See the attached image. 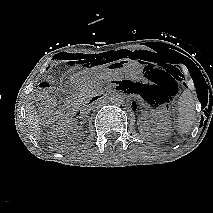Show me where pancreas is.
<instances>
[{
  "instance_id": "pancreas-1",
  "label": "pancreas",
  "mask_w": 213,
  "mask_h": 213,
  "mask_svg": "<svg viewBox=\"0 0 213 213\" xmlns=\"http://www.w3.org/2000/svg\"><path fill=\"white\" fill-rule=\"evenodd\" d=\"M97 85L87 84L80 89V101L87 102L96 94Z\"/></svg>"
}]
</instances>
